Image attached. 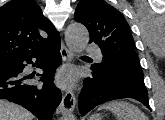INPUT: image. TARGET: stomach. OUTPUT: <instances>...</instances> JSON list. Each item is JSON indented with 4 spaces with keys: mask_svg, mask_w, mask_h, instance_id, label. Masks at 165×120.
<instances>
[{
    "mask_svg": "<svg viewBox=\"0 0 165 120\" xmlns=\"http://www.w3.org/2000/svg\"><path fill=\"white\" fill-rule=\"evenodd\" d=\"M102 116L100 114H94L91 116L90 120H101Z\"/></svg>",
    "mask_w": 165,
    "mask_h": 120,
    "instance_id": "obj_1",
    "label": "stomach"
}]
</instances>
